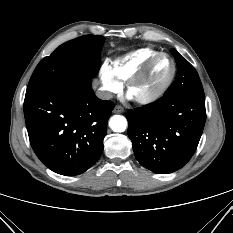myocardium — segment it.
I'll return each mask as SVG.
<instances>
[{
    "label": "myocardium",
    "instance_id": "obj_1",
    "mask_svg": "<svg viewBox=\"0 0 233 233\" xmlns=\"http://www.w3.org/2000/svg\"><path fill=\"white\" fill-rule=\"evenodd\" d=\"M163 57L168 58L172 64V71H171L170 75L162 84H160L155 90H153L149 94L144 95V96H139V97H133L137 103L150 104V103L156 101L168 90V88L173 83L175 75H176V71H177L176 63H175L174 59L169 54L158 53L138 73H136L134 76H132L127 81V84H126L127 92L130 94L133 87L136 84L142 82L149 75L150 71L152 70V68L156 64V62L160 58H163Z\"/></svg>",
    "mask_w": 233,
    "mask_h": 233
}]
</instances>
